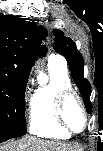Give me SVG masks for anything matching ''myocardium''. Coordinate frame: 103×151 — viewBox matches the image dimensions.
<instances>
[{
    "label": "myocardium",
    "instance_id": "obj_1",
    "mask_svg": "<svg viewBox=\"0 0 103 151\" xmlns=\"http://www.w3.org/2000/svg\"><path fill=\"white\" fill-rule=\"evenodd\" d=\"M70 98L76 99L82 109L84 115V126L81 130L74 129L65 118V105ZM54 117L57 124L70 134H77L83 132L87 128L89 121V114L86 109V106L80 95L73 89H65L58 93L55 100Z\"/></svg>",
    "mask_w": 103,
    "mask_h": 151
}]
</instances>
